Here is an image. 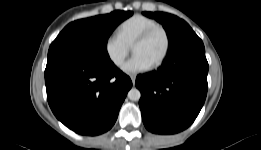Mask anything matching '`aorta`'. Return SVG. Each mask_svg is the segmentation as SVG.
<instances>
[{"mask_svg":"<svg viewBox=\"0 0 261 150\" xmlns=\"http://www.w3.org/2000/svg\"><path fill=\"white\" fill-rule=\"evenodd\" d=\"M127 96L132 101H138L141 97V93L137 88H132L129 90Z\"/></svg>","mask_w":261,"mask_h":150,"instance_id":"obj_1","label":"aorta"}]
</instances>
